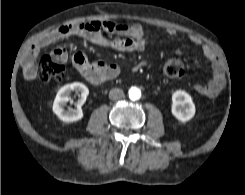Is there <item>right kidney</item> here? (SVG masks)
<instances>
[{"instance_id": "ca27d5eb", "label": "right kidney", "mask_w": 245, "mask_h": 195, "mask_svg": "<svg viewBox=\"0 0 245 195\" xmlns=\"http://www.w3.org/2000/svg\"><path fill=\"white\" fill-rule=\"evenodd\" d=\"M75 91L79 95L77 107L75 109H64V105L69 101L71 93ZM89 94L88 88L79 82L67 84L59 89L54 103L53 112L60 120L66 123L76 122L83 118L81 106L85 103Z\"/></svg>"}]
</instances>
